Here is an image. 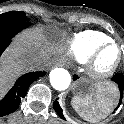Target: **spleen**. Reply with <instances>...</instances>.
<instances>
[{"label":"spleen","mask_w":124,"mask_h":124,"mask_svg":"<svg viewBox=\"0 0 124 124\" xmlns=\"http://www.w3.org/2000/svg\"><path fill=\"white\" fill-rule=\"evenodd\" d=\"M71 103L73 108L82 118L87 121L93 120L97 122L106 117L110 112V109L114 104V99L106 93L98 92L89 97L75 96Z\"/></svg>","instance_id":"spleen-1"}]
</instances>
